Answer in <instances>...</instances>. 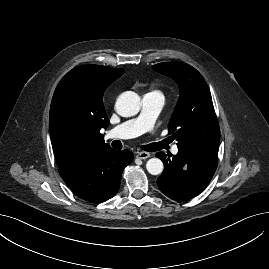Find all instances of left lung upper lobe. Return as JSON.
<instances>
[{
  "mask_svg": "<svg viewBox=\"0 0 269 269\" xmlns=\"http://www.w3.org/2000/svg\"><path fill=\"white\" fill-rule=\"evenodd\" d=\"M153 68L174 79L180 87L179 101L168 125V133L177 139L178 148L200 149L206 145H219L217 117L209 88L201 74L180 62L159 63Z\"/></svg>",
  "mask_w": 269,
  "mask_h": 269,
  "instance_id": "left-lung-upper-lobe-1",
  "label": "left lung upper lobe"
}]
</instances>
